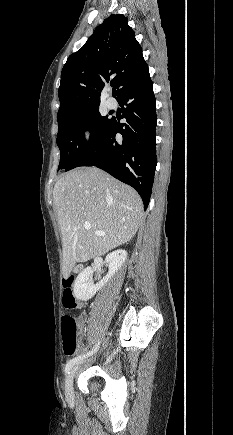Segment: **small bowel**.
I'll return each instance as SVG.
<instances>
[{
	"mask_svg": "<svg viewBox=\"0 0 233 435\" xmlns=\"http://www.w3.org/2000/svg\"><path fill=\"white\" fill-rule=\"evenodd\" d=\"M72 290H73V289H72ZM79 306L82 307V306H83V303H79ZM84 335H85V326H84L83 322H80L79 338H78V342H79V343H82L83 338H84Z\"/></svg>",
	"mask_w": 233,
	"mask_h": 435,
	"instance_id": "small-bowel-1",
	"label": "small bowel"
}]
</instances>
